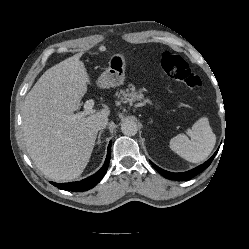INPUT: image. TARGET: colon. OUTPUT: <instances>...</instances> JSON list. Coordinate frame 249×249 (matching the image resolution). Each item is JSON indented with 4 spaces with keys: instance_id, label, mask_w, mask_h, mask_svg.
<instances>
[{
    "instance_id": "colon-1",
    "label": "colon",
    "mask_w": 249,
    "mask_h": 249,
    "mask_svg": "<svg viewBox=\"0 0 249 249\" xmlns=\"http://www.w3.org/2000/svg\"><path fill=\"white\" fill-rule=\"evenodd\" d=\"M163 71L171 78L190 88L201 86V79L179 55L165 53L161 59Z\"/></svg>"
}]
</instances>
